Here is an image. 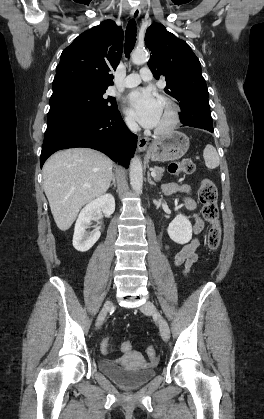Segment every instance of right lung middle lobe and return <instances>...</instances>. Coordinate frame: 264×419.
<instances>
[{
  "label": "right lung middle lobe",
  "mask_w": 264,
  "mask_h": 419,
  "mask_svg": "<svg viewBox=\"0 0 264 419\" xmlns=\"http://www.w3.org/2000/svg\"><path fill=\"white\" fill-rule=\"evenodd\" d=\"M106 89L71 86L53 92L47 123L66 112L108 113L118 110L114 97L104 95Z\"/></svg>",
  "instance_id": "obj_1"
}]
</instances>
